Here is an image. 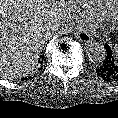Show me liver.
Here are the masks:
<instances>
[{
    "label": "liver",
    "instance_id": "1",
    "mask_svg": "<svg viewBox=\"0 0 118 118\" xmlns=\"http://www.w3.org/2000/svg\"><path fill=\"white\" fill-rule=\"evenodd\" d=\"M72 9L71 0H0V76H27L52 26H63Z\"/></svg>",
    "mask_w": 118,
    "mask_h": 118
}]
</instances>
